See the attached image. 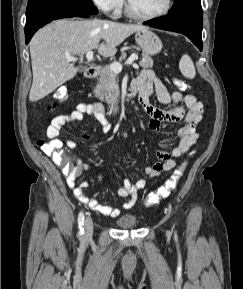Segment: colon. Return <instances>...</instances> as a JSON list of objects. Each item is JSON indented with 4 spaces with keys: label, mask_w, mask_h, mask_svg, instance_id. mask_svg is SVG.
Segmentation results:
<instances>
[{
    "label": "colon",
    "mask_w": 243,
    "mask_h": 289,
    "mask_svg": "<svg viewBox=\"0 0 243 289\" xmlns=\"http://www.w3.org/2000/svg\"><path fill=\"white\" fill-rule=\"evenodd\" d=\"M174 84L180 89H185L187 87L183 81L178 79L174 80ZM53 98L58 101L66 100V89H57L53 94ZM53 107L54 104L49 106L48 109L51 110ZM38 144L41 147L42 151L48 156H50L57 165L63 168V170L70 169L69 159L62 151V142L60 140H50L48 142L40 140ZM185 167L186 163H183L174 171L171 177L166 180V182L162 186H160L156 191L148 194L144 201L145 205L148 207L154 206L158 204L161 199L168 197L177 187L178 181L182 177Z\"/></svg>",
    "instance_id": "obj_1"
}]
</instances>
